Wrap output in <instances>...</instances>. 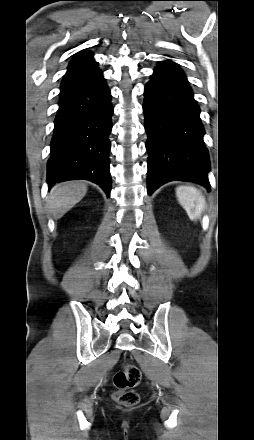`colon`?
<instances>
[{
  "mask_svg": "<svg viewBox=\"0 0 254 440\" xmlns=\"http://www.w3.org/2000/svg\"><path fill=\"white\" fill-rule=\"evenodd\" d=\"M141 380L140 370L131 364H125L113 378L115 391L113 399L124 406H135L140 401L139 394L133 390Z\"/></svg>",
  "mask_w": 254,
  "mask_h": 440,
  "instance_id": "colon-1",
  "label": "colon"
}]
</instances>
